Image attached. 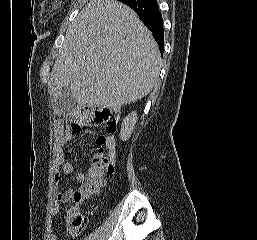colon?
Listing matches in <instances>:
<instances>
[{
    "label": "colon",
    "instance_id": "colon-1",
    "mask_svg": "<svg viewBox=\"0 0 257 240\" xmlns=\"http://www.w3.org/2000/svg\"><path fill=\"white\" fill-rule=\"evenodd\" d=\"M90 123L95 127H103L105 133H98L96 136L97 150L92 160V166L87 178L82 185L75 191L70 198L74 204H78L95 194L105 182V177L110 176L115 171L114 157L105 150L108 137L116 130V120L111 111L98 109L90 113ZM75 129H81L79 124L73 125ZM71 228L77 232L82 231L87 223L86 218L77 210L76 207L69 209Z\"/></svg>",
    "mask_w": 257,
    "mask_h": 240
}]
</instances>
